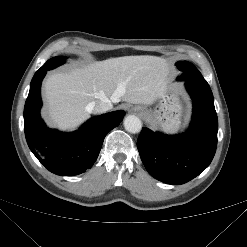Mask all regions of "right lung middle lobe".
I'll use <instances>...</instances> for the list:
<instances>
[{
	"label": "right lung middle lobe",
	"instance_id": "dd1d6c3e",
	"mask_svg": "<svg viewBox=\"0 0 247 247\" xmlns=\"http://www.w3.org/2000/svg\"><path fill=\"white\" fill-rule=\"evenodd\" d=\"M67 57L64 56H58L49 59L40 69L39 71H48L51 69L56 68L57 66L63 64V60H65Z\"/></svg>",
	"mask_w": 247,
	"mask_h": 247
}]
</instances>
